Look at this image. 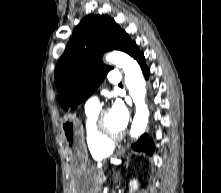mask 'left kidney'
I'll use <instances>...</instances> for the list:
<instances>
[{
  "label": "left kidney",
  "mask_w": 221,
  "mask_h": 193,
  "mask_svg": "<svg viewBox=\"0 0 221 193\" xmlns=\"http://www.w3.org/2000/svg\"><path fill=\"white\" fill-rule=\"evenodd\" d=\"M139 187V183L136 179H133L129 182V193H133Z\"/></svg>",
  "instance_id": "1"
}]
</instances>
